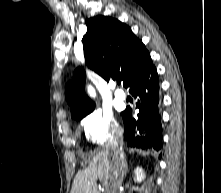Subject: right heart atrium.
Returning a JSON list of instances; mask_svg holds the SVG:
<instances>
[{"instance_id": "1", "label": "right heart atrium", "mask_w": 221, "mask_h": 193, "mask_svg": "<svg viewBox=\"0 0 221 193\" xmlns=\"http://www.w3.org/2000/svg\"><path fill=\"white\" fill-rule=\"evenodd\" d=\"M87 140L95 146H102L118 139L122 128L114 114L108 109L96 108L82 120Z\"/></svg>"}]
</instances>
